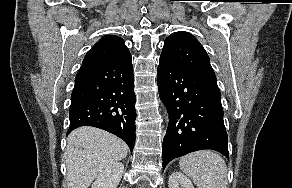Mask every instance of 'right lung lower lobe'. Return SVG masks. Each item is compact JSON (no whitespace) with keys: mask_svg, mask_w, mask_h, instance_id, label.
<instances>
[{"mask_svg":"<svg viewBox=\"0 0 292 188\" xmlns=\"http://www.w3.org/2000/svg\"><path fill=\"white\" fill-rule=\"evenodd\" d=\"M70 133L80 126L104 129L135 143V93L131 57L121 61L83 62L71 95Z\"/></svg>","mask_w":292,"mask_h":188,"instance_id":"obj_1","label":"right lung lower lobe"}]
</instances>
